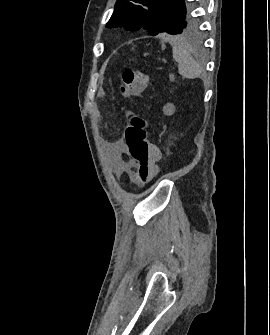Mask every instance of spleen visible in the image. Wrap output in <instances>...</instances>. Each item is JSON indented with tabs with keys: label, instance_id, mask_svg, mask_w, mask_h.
I'll list each match as a JSON object with an SVG mask.
<instances>
[{
	"label": "spleen",
	"instance_id": "spleen-1",
	"mask_svg": "<svg viewBox=\"0 0 270 335\" xmlns=\"http://www.w3.org/2000/svg\"><path fill=\"white\" fill-rule=\"evenodd\" d=\"M170 44L173 50V60L179 64V74L183 78H189V80L199 78L200 74H202V68L189 54L187 44L182 36H174V38H171Z\"/></svg>",
	"mask_w": 270,
	"mask_h": 335
}]
</instances>
